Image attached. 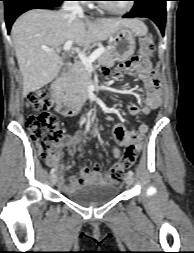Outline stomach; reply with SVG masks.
<instances>
[{
	"label": "stomach",
	"mask_w": 194,
	"mask_h": 253,
	"mask_svg": "<svg viewBox=\"0 0 194 253\" xmlns=\"http://www.w3.org/2000/svg\"><path fill=\"white\" fill-rule=\"evenodd\" d=\"M112 49L116 61H124L133 55L136 42L134 32L128 27H119L112 35Z\"/></svg>",
	"instance_id": "1"
}]
</instances>
